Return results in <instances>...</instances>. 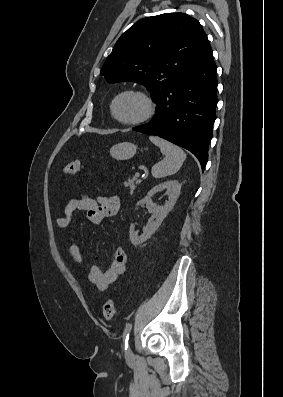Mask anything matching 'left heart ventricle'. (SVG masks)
Here are the masks:
<instances>
[{"mask_svg": "<svg viewBox=\"0 0 283 397\" xmlns=\"http://www.w3.org/2000/svg\"><path fill=\"white\" fill-rule=\"evenodd\" d=\"M145 103L141 97L134 94H126L120 97L116 103L115 111L122 120H134L145 112Z\"/></svg>", "mask_w": 283, "mask_h": 397, "instance_id": "left-heart-ventricle-1", "label": "left heart ventricle"}]
</instances>
